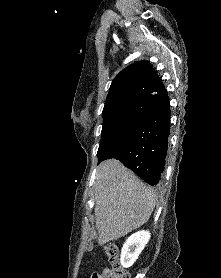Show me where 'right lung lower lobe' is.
<instances>
[{
	"label": "right lung lower lobe",
	"instance_id": "98d812e1",
	"mask_svg": "<svg viewBox=\"0 0 221 278\" xmlns=\"http://www.w3.org/2000/svg\"><path fill=\"white\" fill-rule=\"evenodd\" d=\"M146 104L153 112L99 159L98 163L110 158L118 159L154 186L164 169L170 135V102L167 92L151 97Z\"/></svg>",
	"mask_w": 221,
	"mask_h": 278
}]
</instances>
